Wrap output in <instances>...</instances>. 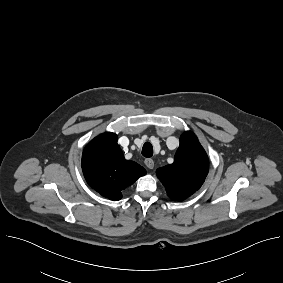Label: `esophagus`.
Instances as JSON below:
<instances>
[{"instance_id": "esophagus-1", "label": "esophagus", "mask_w": 283, "mask_h": 283, "mask_svg": "<svg viewBox=\"0 0 283 283\" xmlns=\"http://www.w3.org/2000/svg\"><path fill=\"white\" fill-rule=\"evenodd\" d=\"M145 165L149 168V169H153L154 167V161L151 158H147L145 159Z\"/></svg>"}]
</instances>
